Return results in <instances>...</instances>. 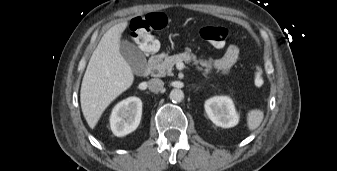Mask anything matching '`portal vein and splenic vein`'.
Instances as JSON below:
<instances>
[{"instance_id": "1", "label": "portal vein and splenic vein", "mask_w": 337, "mask_h": 171, "mask_svg": "<svg viewBox=\"0 0 337 171\" xmlns=\"http://www.w3.org/2000/svg\"><path fill=\"white\" fill-rule=\"evenodd\" d=\"M176 67H177L178 70H182V69H184L185 65H184L183 62H178V63L176 64Z\"/></svg>"}]
</instances>
